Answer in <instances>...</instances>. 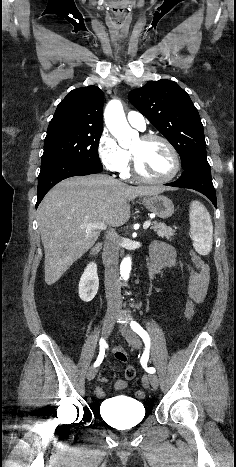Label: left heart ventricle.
Instances as JSON below:
<instances>
[{"label": "left heart ventricle", "instance_id": "obj_1", "mask_svg": "<svg viewBox=\"0 0 236 467\" xmlns=\"http://www.w3.org/2000/svg\"><path fill=\"white\" fill-rule=\"evenodd\" d=\"M131 151L136 155L139 170L151 178L167 176L173 169V159L161 141L143 142L138 139Z\"/></svg>", "mask_w": 236, "mask_h": 467}]
</instances>
